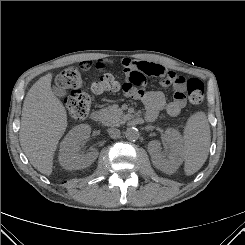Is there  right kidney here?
<instances>
[{
  "instance_id": "right-kidney-1",
  "label": "right kidney",
  "mask_w": 245,
  "mask_h": 245,
  "mask_svg": "<svg viewBox=\"0 0 245 245\" xmlns=\"http://www.w3.org/2000/svg\"><path fill=\"white\" fill-rule=\"evenodd\" d=\"M91 128L81 124L69 131L60 145L59 162L67 170H79L90 166L98 157V151L92 149L80 154V144L90 136Z\"/></svg>"
}]
</instances>
